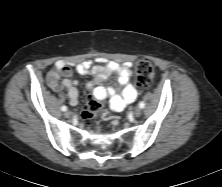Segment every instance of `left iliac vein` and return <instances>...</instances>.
Here are the masks:
<instances>
[{"label":"left iliac vein","instance_id":"1","mask_svg":"<svg viewBox=\"0 0 222 187\" xmlns=\"http://www.w3.org/2000/svg\"><path fill=\"white\" fill-rule=\"evenodd\" d=\"M141 114H142L141 108H137V109L134 111V117H135V118L140 117Z\"/></svg>","mask_w":222,"mask_h":187}]
</instances>
